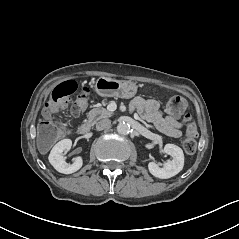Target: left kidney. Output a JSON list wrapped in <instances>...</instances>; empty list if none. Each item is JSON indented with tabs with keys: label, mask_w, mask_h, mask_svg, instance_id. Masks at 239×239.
I'll return each mask as SVG.
<instances>
[{
	"label": "left kidney",
	"mask_w": 239,
	"mask_h": 239,
	"mask_svg": "<svg viewBox=\"0 0 239 239\" xmlns=\"http://www.w3.org/2000/svg\"><path fill=\"white\" fill-rule=\"evenodd\" d=\"M164 152L172 157V160L167 162L164 168H160L157 162L150 161L148 157H145L149 172L154 177L160 179L171 178L177 175L183 168L184 155L181 148L173 144H166Z\"/></svg>",
	"instance_id": "left-kidney-1"
}]
</instances>
